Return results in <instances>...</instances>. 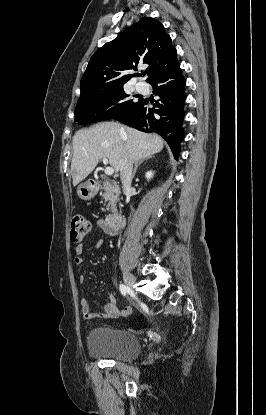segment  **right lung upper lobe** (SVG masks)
I'll list each match as a JSON object with an SVG mask.
<instances>
[{
    "mask_svg": "<svg viewBox=\"0 0 266 415\" xmlns=\"http://www.w3.org/2000/svg\"><path fill=\"white\" fill-rule=\"evenodd\" d=\"M142 63L149 65L148 82L179 65L170 36L153 18L143 17L94 53L81 79L80 98L123 86L134 76L123 71Z\"/></svg>",
    "mask_w": 266,
    "mask_h": 415,
    "instance_id": "cb5924a9",
    "label": "right lung upper lobe"
}]
</instances>
